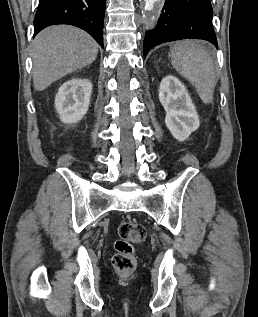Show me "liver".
I'll use <instances>...</instances> for the list:
<instances>
[{"label": "liver", "mask_w": 258, "mask_h": 317, "mask_svg": "<svg viewBox=\"0 0 258 317\" xmlns=\"http://www.w3.org/2000/svg\"><path fill=\"white\" fill-rule=\"evenodd\" d=\"M31 46L36 90H45L68 72L87 66L98 52V44L90 34L65 24L44 28L32 40Z\"/></svg>", "instance_id": "obj_1"}]
</instances>
